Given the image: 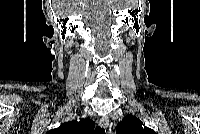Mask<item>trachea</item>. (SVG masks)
<instances>
[{"mask_svg": "<svg viewBox=\"0 0 200 134\" xmlns=\"http://www.w3.org/2000/svg\"><path fill=\"white\" fill-rule=\"evenodd\" d=\"M94 134H105V130L101 127H96Z\"/></svg>", "mask_w": 200, "mask_h": 134, "instance_id": "3493384b", "label": "trachea"}]
</instances>
